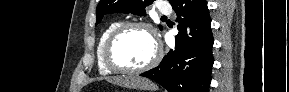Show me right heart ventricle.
<instances>
[{"instance_id": "obj_1", "label": "right heart ventricle", "mask_w": 289, "mask_h": 92, "mask_svg": "<svg viewBox=\"0 0 289 92\" xmlns=\"http://www.w3.org/2000/svg\"><path fill=\"white\" fill-rule=\"evenodd\" d=\"M121 24L120 21H113L109 25L106 26V28L103 30V32L100 35V38L98 40L97 48H96V59H97V66H98V71L102 75H110L114 73L112 70H110L103 58V51H104V46L105 43L109 37V35L112 33V31L118 27Z\"/></svg>"}]
</instances>
